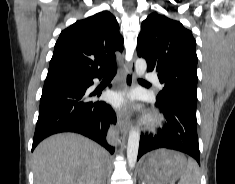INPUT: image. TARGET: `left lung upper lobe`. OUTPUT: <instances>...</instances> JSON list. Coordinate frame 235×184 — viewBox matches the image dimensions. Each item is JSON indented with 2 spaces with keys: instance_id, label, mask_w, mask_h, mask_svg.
<instances>
[{
  "instance_id": "left-lung-upper-lobe-1",
  "label": "left lung upper lobe",
  "mask_w": 235,
  "mask_h": 184,
  "mask_svg": "<svg viewBox=\"0 0 235 184\" xmlns=\"http://www.w3.org/2000/svg\"><path fill=\"white\" fill-rule=\"evenodd\" d=\"M137 54L146 59L148 72H158L164 85L156 101L177 98L196 108L198 58L190 30L178 21L152 13L141 24Z\"/></svg>"
}]
</instances>
